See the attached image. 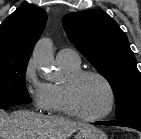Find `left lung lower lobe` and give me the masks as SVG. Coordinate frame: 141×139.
<instances>
[{
	"label": "left lung lower lobe",
	"instance_id": "0a47b994",
	"mask_svg": "<svg viewBox=\"0 0 141 139\" xmlns=\"http://www.w3.org/2000/svg\"><path fill=\"white\" fill-rule=\"evenodd\" d=\"M98 124L107 126H124L134 128L141 132V116L131 117L122 120L108 121V122H98Z\"/></svg>",
	"mask_w": 141,
	"mask_h": 139
}]
</instances>
